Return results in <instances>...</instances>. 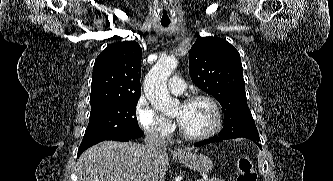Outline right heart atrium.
<instances>
[{
    "label": "right heart atrium",
    "instance_id": "d8ad5b80",
    "mask_svg": "<svg viewBox=\"0 0 333 181\" xmlns=\"http://www.w3.org/2000/svg\"><path fill=\"white\" fill-rule=\"evenodd\" d=\"M135 115L141 129L149 135L168 138L174 131V125L163 118L143 98H140L135 105Z\"/></svg>",
    "mask_w": 333,
    "mask_h": 181
}]
</instances>
